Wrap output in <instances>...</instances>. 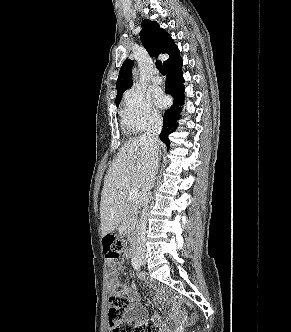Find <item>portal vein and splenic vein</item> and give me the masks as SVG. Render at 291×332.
<instances>
[{"instance_id": "obj_1", "label": "portal vein and splenic vein", "mask_w": 291, "mask_h": 332, "mask_svg": "<svg viewBox=\"0 0 291 332\" xmlns=\"http://www.w3.org/2000/svg\"><path fill=\"white\" fill-rule=\"evenodd\" d=\"M140 197V192L138 189L131 190L128 194L129 201H137Z\"/></svg>"}]
</instances>
